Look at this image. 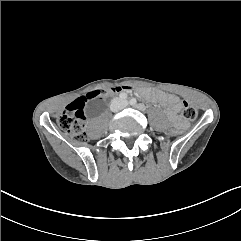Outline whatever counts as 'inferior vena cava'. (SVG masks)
<instances>
[{
    "instance_id": "602c4592",
    "label": "inferior vena cava",
    "mask_w": 241,
    "mask_h": 241,
    "mask_svg": "<svg viewBox=\"0 0 241 241\" xmlns=\"http://www.w3.org/2000/svg\"><path fill=\"white\" fill-rule=\"evenodd\" d=\"M126 105H127V103H125V104H123V105H120V106H116V107L114 108V111L121 110V109H123Z\"/></svg>"
}]
</instances>
